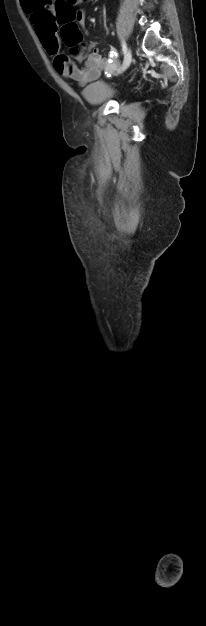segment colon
<instances>
[{
  "mask_svg": "<svg viewBox=\"0 0 206 626\" xmlns=\"http://www.w3.org/2000/svg\"><path fill=\"white\" fill-rule=\"evenodd\" d=\"M88 0H57L56 8L58 14V22L62 25L61 37L63 42L71 48V55L79 57L81 50L82 36L77 25L73 23L74 12L73 6L87 2ZM28 9H34L28 7Z\"/></svg>",
  "mask_w": 206,
  "mask_h": 626,
  "instance_id": "5ec220e1",
  "label": "colon"
}]
</instances>
